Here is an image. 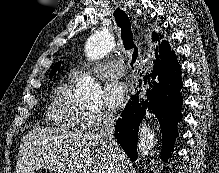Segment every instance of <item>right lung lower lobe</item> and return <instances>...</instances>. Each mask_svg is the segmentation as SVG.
Segmentation results:
<instances>
[{
  "label": "right lung lower lobe",
  "instance_id": "98d812e1",
  "mask_svg": "<svg viewBox=\"0 0 219 173\" xmlns=\"http://www.w3.org/2000/svg\"><path fill=\"white\" fill-rule=\"evenodd\" d=\"M181 67L175 53L155 61L151 73L146 74L149 84L147 99L139 101L134 95L120 115L115 127V137L132 160L137 159V138L141 120L148 109L157 117L162 133L161 159L167 161L173 152L174 141L178 135L177 124L182 119L180 95L182 78ZM138 94V92H137Z\"/></svg>",
  "mask_w": 219,
  "mask_h": 173
}]
</instances>
